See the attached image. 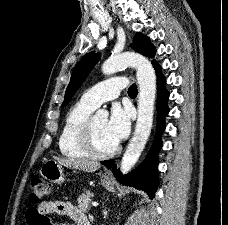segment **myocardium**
Wrapping results in <instances>:
<instances>
[{
    "instance_id": "myocardium-1",
    "label": "myocardium",
    "mask_w": 228,
    "mask_h": 225,
    "mask_svg": "<svg viewBox=\"0 0 228 225\" xmlns=\"http://www.w3.org/2000/svg\"><path fill=\"white\" fill-rule=\"evenodd\" d=\"M81 143L85 150L96 157H107L114 155L120 150V145L116 143L113 147L108 149H102L96 142L95 134L93 130V118L89 117L84 124Z\"/></svg>"
}]
</instances>
